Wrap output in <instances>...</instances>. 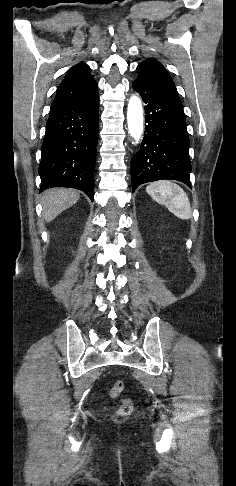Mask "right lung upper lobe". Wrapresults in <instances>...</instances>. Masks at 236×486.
Returning a JSON list of instances; mask_svg holds the SVG:
<instances>
[{
    "label": "right lung upper lobe",
    "instance_id": "cb5924a9",
    "mask_svg": "<svg viewBox=\"0 0 236 486\" xmlns=\"http://www.w3.org/2000/svg\"><path fill=\"white\" fill-rule=\"evenodd\" d=\"M90 68L79 63L73 66L58 86L51 107L87 99L97 93V83L90 75Z\"/></svg>",
    "mask_w": 236,
    "mask_h": 486
}]
</instances>
